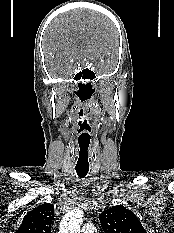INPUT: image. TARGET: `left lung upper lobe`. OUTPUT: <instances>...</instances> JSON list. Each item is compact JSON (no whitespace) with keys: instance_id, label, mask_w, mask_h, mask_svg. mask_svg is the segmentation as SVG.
<instances>
[{"instance_id":"1","label":"left lung upper lobe","mask_w":174,"mask_h":233,"mask_svg":"<svg viewBox=\"0 0 174 233\" xmlns=\"http://www.w3.org/2000/svg\"><path fill=\"white\" fill-rule=\"evenodd\" d=\"M99 220L105 233H147L137 216L122 205L105 210Z\"/></svg>"}]
</instances>
